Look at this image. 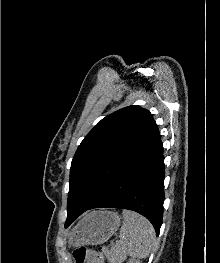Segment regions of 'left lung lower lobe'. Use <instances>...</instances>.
I'll use <instances>...</instances> for the list:
<instances>
[{
    "label": "left lung lower lobe",
    "instance_id": "obj_1",
    "mask_svg": "<svg viewBox=\"0 0 220 263\" xmlns=\"http://www.w3.org/2000/svg\"><path fill=\"white\" fill-rule=\"evenodd\" d=\"M164 157L159 135L142 151L86 209L69 210L65 227L93 208L133 210L145 216L158 236L164 202Z\"/></svg>",
    "mask_w": 220,
    "mask_h": 263
}]
</instances>
